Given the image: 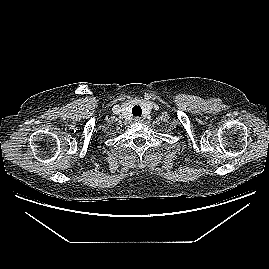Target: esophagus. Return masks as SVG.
<instances>
[{
	"label": "esophagus",
	"instance_id": "esophagus-1",
	"mask_svg": "<svg viewBox=\"0 0 269 269\" xmlns=\"http://www.w3.org/2000/svg\"><path fill=\"white\" fill-rule=\"evenodd\" d=\"M142 121H143V119L141 117H135L134 118L135 123H141Z\"/></svg>",
	"mask_w": 269,
	"mask_h": 269
}]
</instances>
